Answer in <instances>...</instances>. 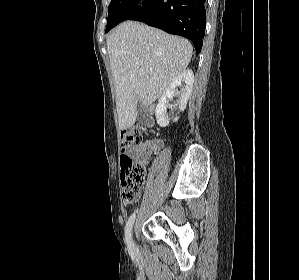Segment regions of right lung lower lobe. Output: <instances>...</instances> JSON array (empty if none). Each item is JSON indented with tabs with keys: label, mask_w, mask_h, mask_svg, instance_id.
Masks as SVG:
<instances>
[{
	"label": "right lung lower lobe",
	"mask_w": 299,
	"mask_h": 280,
	"mask_svg": "<svg viewBox=\"0 0 299 280\" xmlns=\"http://www.w3.org/2000/svg\"><path fill=\"white\" fill-rule=\"evenodd\" d=\"M136 20L170 34L190 39L201 51L206 24L205 0H130L117 16L114 26Z\"/></svg>",
	"instance_id": "right-lung-lower-lobe-1"
}]
</instances>
